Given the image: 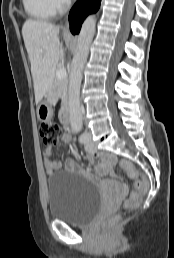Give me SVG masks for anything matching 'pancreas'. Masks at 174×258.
I'll return each mask as SVG.
<instances>
[{"instance_id":"pancreas-1","label":"pancreas","mask_w":174,"mask_h":258,"mask_svg":"<svg viewBox=\"0 0 174 258\" xmlns=\"http://www.w3.org/2000/svg\"><path fill=\"white\" fill-rule=\"evenodd\" d=\"M59 70V68L57 69ZM56 70V71H57ZM51 102L56 103L59 98L62 99L64 104L67 100V81L66 79H59L56 75L53 80V85L51 87Z\"/></svg>"}]
</instances>
